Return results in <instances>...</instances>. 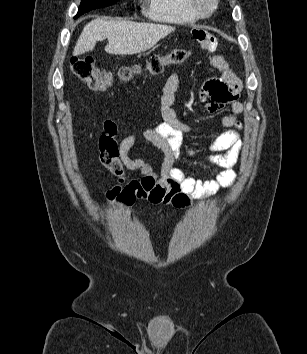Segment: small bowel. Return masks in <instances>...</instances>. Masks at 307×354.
I'll use <instances>...</instances> for the list:
<instances>
[{"label": "small bowel", "instance_id": "obj_1", "mask_svg": "<svg viewBox=\"0 0 307 354\" xmlns=\"http://www.w3.org/2000/svg\"><path fill=\"white\" fill-rule=\"evenodd\" d=\"M192 37L208 51L217 48L216 38L208 32L195 29ZM210 63L221 70L223 79H211L204 86V95L210 100L206 109L210 114L218 113L226 104L232 102L231 111L225 115L217 128H196L178 119L173 108L179 87L178 73H172L166 80L161 95V114L163 121L153 128L143 131V137L159 148L164 154L160 173L141 159L131 158L129 153L134 146L136 131L116 140L118 126L112 120L103 122V133L99 139V160L117 177V183L107 192V198L121 205H131L136 200H147L153 204L173 205L185 208L194 199L216 194L221 188L231 186L236 173L233 169L242 148L239 130V115L243 105L236 101L241 89L240 82L230 73L226 61L218 55L211 57ZM221 130L209 145L210 155L206 164L221 172L214 180L202 181L188 175L180 165V151L183 148V135L196 131L213 132ZM140 171L141 178L127 180L126 171Z\"/></svg>", "mask_w": 307, "mask_h": 354}]
</instances>
